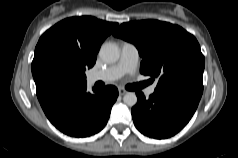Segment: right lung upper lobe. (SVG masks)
Listing matches in <instances>:
<instances>
[{"label": "right lung upper lobe", "mask_w": 238, "mask_h": 158, "mask_svg": "<svg viewBox=\"0 0 238 158\" xmlns=\"http://www.w3.org/2000/svg\"><path fill=\"white\" fill-rule=\"evenodd\" d=\"M117 26L118 23L106 22L92 16L67 18L40 37L35 53L44 45L55 44L73 54L84 69L91 68L96 62L102 42Z\"/></svg>", "instance_id": "cb5924a9"}]
</instances>
